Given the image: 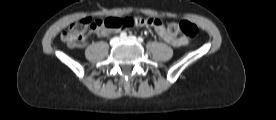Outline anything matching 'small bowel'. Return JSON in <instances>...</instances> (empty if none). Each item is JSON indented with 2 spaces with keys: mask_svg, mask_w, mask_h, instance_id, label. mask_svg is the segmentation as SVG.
<instances>
[{
  "mask_svg": "<svg viewBox=\"0 0 276 120\" xmlns=\"http://www.w3.org/2000/svg\"><path fill=\"white\" fill-rule=\"evenodd\" d=\"M153 27L157 34L168 44L180 47L186 44V39L183 37H177L174 35H171L167 32L166 28L164 27L161 20H158L155 24H153ZM100 34L103 36H106L108 34L107 30H101Z\"/></svg>",
  "mask_w": 276,
  "mask_h": 120,
  "instance_id": "1",
  "label": "small bowel"
}]
</instances>
